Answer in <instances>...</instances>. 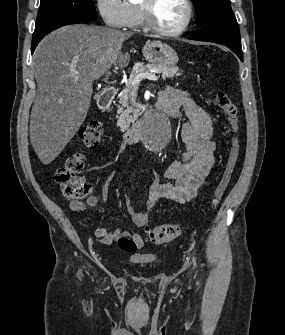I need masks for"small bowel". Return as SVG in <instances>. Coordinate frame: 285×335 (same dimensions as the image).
<instances>
[{"instance_id":"c3829d8e","label":"small bowel","mask_w":285,"mask_h":335,"mask_svg":"<svg viewBox=\"0 0 285 335\" xmlns=\"http://www.w3.org/2000/svg\"><path fill=\"white\" fill-rule=\"evenodd\" d=\"M159 99L169 100L176 107L177 114L181 109L185 111L188 121L180 124V137L186 144V149L180 159L172 161L165 169L164 176L168 179L166 183H160L158 174L152 173L144 211L135 210L130 198L125 196L127 212L137 227L147 226L152 210L161 200L186 203L195 198L206 185L215 162L213 122L208 112L198 106L187 93L170 87L160 92ZM113 174L111 171L107 175L100 199L91 196L86 202L72 200L70 208L78 214H83L87 206H95L99 201L105 203ZM94 235L101 244L110 245L128 233L122 232L121 229L109 231L104 227H97ZM132 238L138 247L143 246L144 239L141 234L134 233Z\"/></svg>"}]
</instances>
